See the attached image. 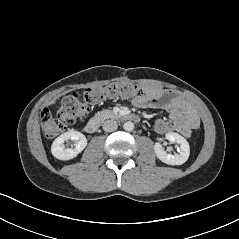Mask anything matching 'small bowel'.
<instances>
[{"label": "small bowel", "instance_id": "obj_1", "mask_svg": "<svg viewBox=\"0 0 239 239\" xmlns=\"http://www.w3.org/2000/svg\"><path fill=\"white\" fill-rule=\"evenodd\" d=\"M145 94L133 99L134 106L138 108H159L169 113L172 131L183 137H190L192 131L200 125L196 110L183 98L169 90L146 87Z\"/></svg>", "mask_w": 239, "mask_h": 239}]
</instances>
